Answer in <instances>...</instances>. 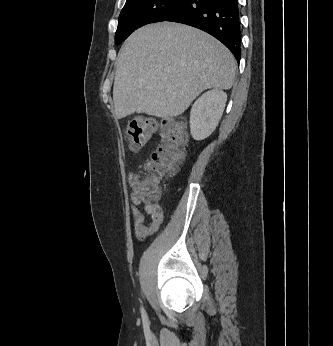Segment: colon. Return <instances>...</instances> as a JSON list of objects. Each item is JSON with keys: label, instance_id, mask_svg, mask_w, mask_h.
I'll return each instance as SVG.
<instances>
[{"label": "colon", "instance_id": "obj_1", "mask_svg": "<svg viewBox=\"0 0 333 346\" xmlns=\"http://www.w3.org/2000/svg\"><path fill=\"white\" fill-rule=\"evenodd\" d=\"M157 129L155 120L140 116L132 120L126 129L131 150L144 148ZM185 134L179 122L168 120L163 124L160 144L145 163V173L139 182L141 196L156 202L160 196L163 177L173 174L184 158Z\"/></svg>", "mask_w": 333, "mask_h": 346}]
</instances>
